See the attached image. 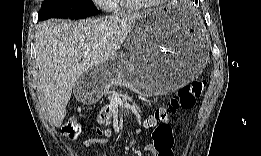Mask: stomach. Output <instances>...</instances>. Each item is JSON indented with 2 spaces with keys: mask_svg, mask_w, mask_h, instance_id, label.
Instances as JSON below:
<instances>
[{
  "mask_svg": "<svg viewBox=\"0 0 261 156\" xmlns=\"http://www.w3.org/2000/svg\"><path fill=\"white\" fill-rule=\"evenodd\" d=\"M127 43L128 57L117 53L82 75L90 99L115 83L144 96L173 91L197 78L208 61V47L183 3L142 14L132 25Z\"/></svg>",
  "mask_w": 261,
  "mask_h": 156,
  "instance_id": "0dacf381",
  "label": "stomach"
}]
</instances>
